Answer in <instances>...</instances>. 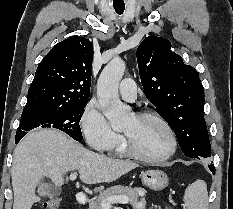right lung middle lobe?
<instances>
[{
    "instance_id": "obj_1",
    "label": "right lung middle lobe",
    "mask_w": 233,
    "mask_h": 209,
    "mask_svg": "<svg viewBox=\"0 0 233 209\" xmlns=\"http://www.w3.org/2000/svg\"><path fill=\"white\" fill-rule=\"evenodd\" d=\"M87 102L75 104H33L25 105L16 137L24 136L36 127L56 128L76 141H82L80 119Z\"/></svg>"
}]
</instances>
